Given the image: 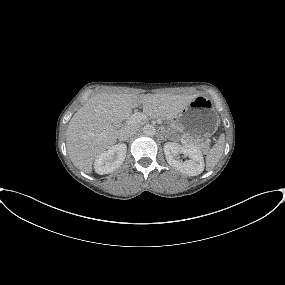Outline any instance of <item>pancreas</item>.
Returning <instances> with one entry per match:
<instances>
[{
	"instance_id": "obj_1",
	"label": "pancreas",
	"mask_w": 285,
	"mask_h": 285,
	"mask_svg": "<svg viewBox=\"0 0 285 285\" xmlns=\"http://www.w3.org/2000/svg\"><path fill=\"white\" fill-rule=\"evenodd\" d=\"M178 128L177 125L171 123L169 128H168V131L169 132H172V133H175V130ZM186 136V135H185ZM187 139L186 141L191 144V145H195L197 146L198 148H200L204 153H206L208 150H209V145L205 142H203L201 139H194V138H190L188 136H186Z\"/></svg>"
}]
</instances>
